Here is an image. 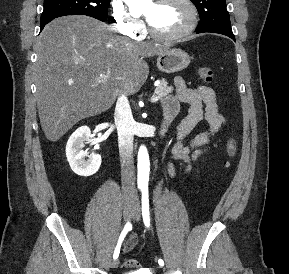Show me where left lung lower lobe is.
<instances>
[{
	"label": "left lung lower lobe",
	"instance_id": "obj_1",
	"mask_svg": "<svg viewBox=\"0 0 289 274\" xmlns=\"http://www.w3.org/2000/svg\"><path fill=\"white\" fill-rule=\"evenodd\" d=\"M224 35L232 38L235 41V37H234L233 33H224Z\"/></svg>",
	"mask_w": 289,
	"mask_h": 274
}]
</instances>
